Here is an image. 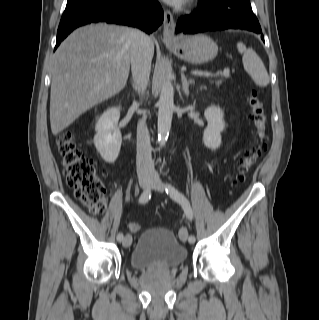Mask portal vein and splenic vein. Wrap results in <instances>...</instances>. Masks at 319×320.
Returning <instances> with one entry per match:
<instances>
[{
	"instance_id": "portal-vein-and-splenic-vein-1",
	"label": "portal vein and splenic vein",
	"mask_w": 319,
	"mask_h": 320,
	"mask_svg": "<svg viewBox=\"0 0 319 320\" xmlns=\"http://www.w3.org/2000/svg\"><path fill=\"white\" fill-rule=\"evenodd\" d=\"M193 75L195 76H204V77H217V76H221V77H225V78H228L230 77V73H229V70H224L223 73H221L220 75L219 74H212L210 72H207V71H192L191 72Z\"/></svg>"
}]
</instances>
